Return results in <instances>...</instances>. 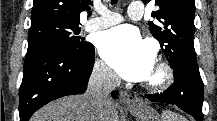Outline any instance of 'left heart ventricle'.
Instances as JSON below:
<instances>
[{"mask_svg": "<svg viewBox=\"0 0 217 121\" xmlns=\"http://www.w3.org/2000/svg\"><path fill=\"white\" fill-rule=\"evenodd\" d=\"M153 73H154V68H153V71H152V73L150 74V76H152V75H153ZM150 76H149V77H150ZM149 77H148V78H149Z\"/></svg>", "mask_w": 217, "mask_h": 121, "instance_id": "left-heart-ventricle-1", "label": "left heart ventricle"}]
</instances>
